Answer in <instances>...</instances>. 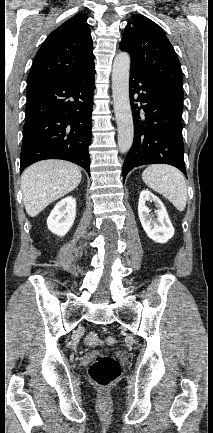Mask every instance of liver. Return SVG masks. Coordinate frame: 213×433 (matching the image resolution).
<instances>
[{
	"label": "liver",
	"instance_id": "1",
	"mask_svg": "<svg viewBox=\"0 0 213 433\" xmlns=\"http://www.w3.org/2000/svg\"><path fill=\"white\" fill-rule=\"evenodd\" d=\"M80 168L68 161L44 160L24 170L21 176L23 202L30 217L73 191L81 182Z\"/></svg>",
	"mask_w": 213,
	"mask_h": 433
}]
</instances>
